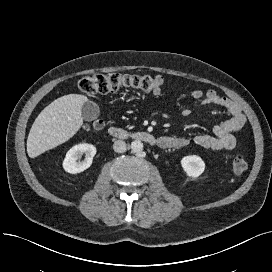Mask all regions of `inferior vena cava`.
Masks as SVG:
<instances>
[{
	"label": "inferior vena cava",
	"mask_w": 272,
	"mask_h": 272,
	"mask_svg": "<svg viewBox=\"0 0 272 272\" xmlns=\"http://www.w3.org/2000/svg\"><path fill=\"white\" fill-rule=\"evenodd\" d=\"M113 150L117 153H123L126 151V143L123 140H117L113 144Z\"/></svg>",
	"instance_id": "inferior-vena-cava-1"
}]
</instances>
